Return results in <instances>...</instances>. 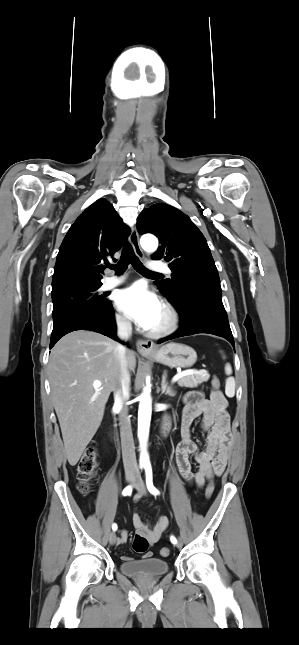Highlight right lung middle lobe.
<instances>
[{
	"mask_svg": "<svg viewBox=\"0 0 299 645\" xmlns=\"http://www.w3.org/2000/svg\"><path fill=\"white\" fill-rule=\"evenodd\" d=\"M100 287V284H75L52 292L54 326L77 313L108 307L111 302L97 293Z\"/></svg>",
	"mask_w": 299,
	"mask_h": 645,
	"instance_id": "dd1d6c3e",
	"label": "right lung middle lobe"
}]
</instances>
